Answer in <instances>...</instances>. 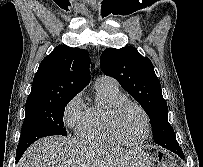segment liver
Masks as SVG:
<instances>
[{
    "label": "liver",
    "instance_id": "obj_1",
    "mask_svg": "<svg viewBox=\"0 0 203 167\" xmlns=\"http://www.w3.org/2000/svg\"><path fill=\"white\" fill-rule=\"evenodd\" d=\"M144 155L119 148L51 136L33 143L17 167H150Z\"/></svg>",
    "mask_w": 203,
    "mask_h": 167
}]
</instances>
